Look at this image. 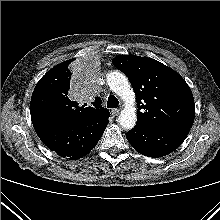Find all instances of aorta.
<instances>
[{
	"label": "aorta",
	"instance_id": "obj_1",
	"mask_svg": "<svg viewBox=\"0 0 220 220\" xmlns=\"http://www.w3.org/2000/svg\"><path fill=\"white\" fill-rule=\"evenodd\" d=\"M106 82L110 89L125 101V108L120 112L118 122L123 129H132L137 121L135 105V93L127 77L118 71L111 72L106 76Z\"/></svg>",
	"mask_w": 220,
	"mask_h": 220
}]
</instances>
